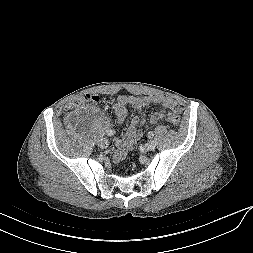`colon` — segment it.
I'll return each mask as SVG.
<instances>
[{"label": "colon", "instance_id": "5ec220e1", "mask_svg": "<svg viewBox=\"0 0 253 253\" xmlns=\"http://www.w3.org/2000/svg\"><path fill=\"white\" fill-rule=\"evenodd\" d=\"M99 101L100 99L97 96L92 95L79 96L67 105V110L72 112L81 108L85 103L99 102ZM167 120L173 125H178L181 121V118L178 114L172 113L168 115Z\"/></svg>", "mask_w": 253, "mask_h": 253}]
</instances>
